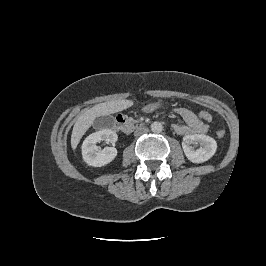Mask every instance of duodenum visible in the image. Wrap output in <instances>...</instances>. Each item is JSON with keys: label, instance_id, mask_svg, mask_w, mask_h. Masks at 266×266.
Returning <instances> with one entry per match:
<instances>
[{"label": "duodenum", "instance_id": "obj_1", "mask_svg": "<svg viewBox=\"0 0 266 266\" xmlns=\"http://www.w3.org/2000/svg\"><path fill=\"white\" fill-rule=\"evenodd\" d=\"M115 128L120 132H130L134 128V124L124 115L119 114L115 119Z\"/></svg>", "mask_w": 266, "mask_h": 266}]
</instances>
